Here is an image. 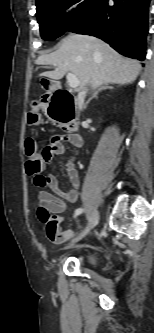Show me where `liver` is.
<instances>
[{"instance_id": "obj_1", "label": "liver", "mask_w": 154, "mask_h": 333, "mask_svg": "<svg viewBox=\"0 0 154 333\" xmlns=\"http://www.w3.org/2000/svg\"><path fill=\"white\" fill-rule=\"evenodd\" d=\"M36 64L56 66L54 71L40 74L54 80L62 79L66 73L74 74L81 89L87 85L95 89L105 83H132L141 68L138 61L123 57L102 40L77 34L62 39L58 50L39 56Z\"/></svg>"}]
</instances>
